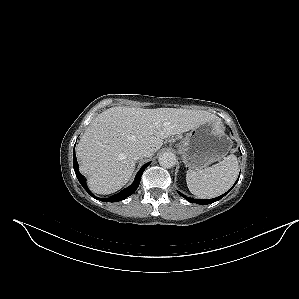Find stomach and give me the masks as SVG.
<instances>
[{"instance_id": "0dacf381", "label": "stomach", "mask_w": 299, "mask_h": 299, "mask_svg": "<svg viewBox=\"0 0 299 299\" xmlns=\"http://www.w3.org/2000/svg\"><path fill=\"white\" fill-rule=\"evenodd\" d=\"M231 146V139L215 122H207L192 129L178 145L183 163L193 170L206 168L223 159Z\"/></svg>"}]
</instances>
